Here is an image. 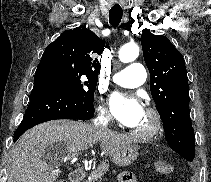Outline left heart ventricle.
<instances>
[{
	"mask_svg": "<svg viewBox=\"0 0 211 182\" xmlns=\"http://www.w3.org/2000/svg\"><path fill=\"white\" fill-rule=\"evenodd\" d=\"M152 118L151 116L144 111L140 121L132 127L133 130H136V131H147L151 128L152 126Z\"/></svg>",
	"mask_w": 211,
	"mask_h": 182,
	"instance_id": "obj_1",
	"label": "left heart ventricle"
}]
</instances>
